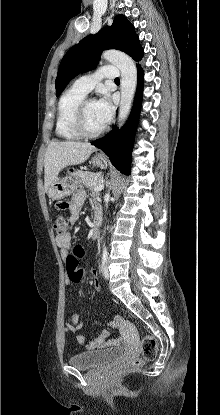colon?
Wrapping results in <instances>:
<instances>
[{
	"mask_svg": "<svg viewBox=\"0 0 220 415\" xmlns=\"http://www.w3.org/2000/svg\"><path fill=\"white\" fill-rule=\"evenodd\" d=\"M57 208L60 210H65L68 208V203L66 201H59L57 203ZM69 227V219L65 215H57L54 218V229L58 234H63L67 231ZM85 253L84 247L80 244L76 245L72 253L67 255L66 263L69 279L71 282L78 284L82 281L86 272L79 267V259L83 257ZM89 277L91 281H94L93 271H90ZM141 352L142 357L131 358L122 363L121 368L132 370L141 367L144 361L153 360L158 352V344L154 336L145 335L141 341Z\"/></svg>",
	"mask_w": 220,
	"mask_h": 415,
	"instance_id": "obj_1",
	"label": "colon"
}]
</instances>
